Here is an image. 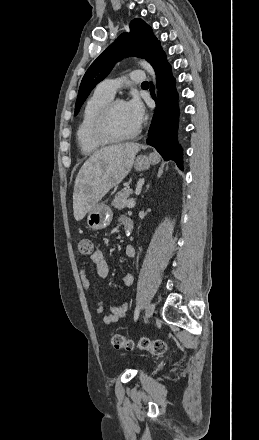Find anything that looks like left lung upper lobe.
<instances>
[{"label":"left lung upper lobe","mask_w":259,"mask_h":440,"mask_svg":"<svg viewBox=\"0 0 259 440\" xmlns=\"http://www.w3.org/2000/svg\"><path fill=\"white\" fill-rule=\"evenodd\" d=\"M160 46L151 27L142 19L130 23V33L121 34L88 68L85 73L75 106V114L91 90L111 72L115 63L128 55L150 60L154 51Z\"/></svg>","instance_id":"1"}]
</instances>
